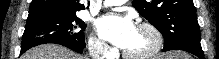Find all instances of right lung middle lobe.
<instances>
[{"label": "right lung middle lobe", "mask_w": 219, "mask_h": 59, "mask_svg": "<svg viewBox=\"0 0 219 59\" xmlns=\"http://www.w3.org/2000/svg\"><path fill=\"white\" fill-rule=\"evenodd\" d=\"M86 24L76 14L30 12L22 36L21 51L46 43H71L85 47Z\"/></svg>", "instance_id": "dd1d6c3e"}]
</instances>
